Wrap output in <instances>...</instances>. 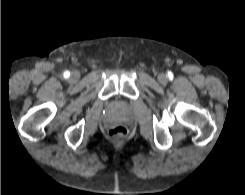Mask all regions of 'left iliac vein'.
I'll return each instance as SVG.
<instances>
[{"instance_id": "left-iliac-vein-1", "label": "left iliac vein", "mask_w": 245, "mask_h": 195, "mask_svg": "<svg viewBox=\"0 0 245 195\" xmlns=\"http://www.w3.org/2000/svg\"><path fill=\"white\" fill-rule=\"evenodd\" d=\"M158 80L160 83L165 84L168 80L167 76L163 73L158 75Z\"/></svg>"}]
</instances>
